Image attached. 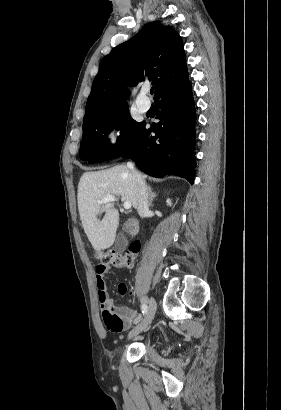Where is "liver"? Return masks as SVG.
<instances>
[{
  "mask_svg": "<svg viewBox=\"0 0 281 410\" xmlns=\"http://www.w3.org/2000/svg\"><path fill=\"white\" fill-rule=\"evenodd\" d=\"M137 190L125 165L85 172L78 184V210L84 231L96 251L111 247L119 226V212L112 202L99 204L106 196H120L137 208ZM105 212L102 220L98 216Z\"/></svg>",
  "mask_w": 281,
  "mask_h": 410,
  "instance_id": "6515ba94",
  "label": "liver"
}]
</instances>
